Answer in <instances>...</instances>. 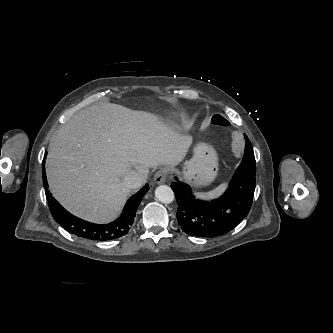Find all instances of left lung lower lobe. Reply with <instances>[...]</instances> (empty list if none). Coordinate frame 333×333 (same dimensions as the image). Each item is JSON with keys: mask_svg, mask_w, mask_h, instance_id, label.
I'll use <instances>...</instances> for the list:
<instances>
[{"mask_svg": "<svg viewBox=\"0 0 333 333\" xmlns=\"http://www.w3.org/2000/svg\"><path fill=\"white\" fill-rule=\"evenodd\" d=\"M245 153L229 188L220 198L207 202L195 199L191 188L177 180L171 184L178 204L177 220L189 235L216 237L235 228L248 214L255 191L256 161L245 135Z\"/></svg>", "mask_w": 333, "mask_h": 333, "instance_id": "1", "label": "left lung lower lobe"}]
</instances>
